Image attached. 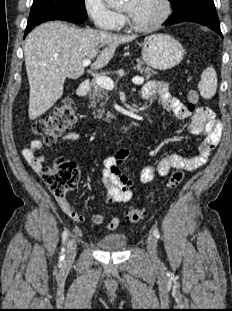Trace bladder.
Masks as SVG:
<instances>
[{
    "label": "bladder",
    "instance_id": "31cf9c89",
    "mask_svg": "<svg viewBox=\"0 0 232 311\" xmlns=\"http://www.w3.org/2000/svg\"><path fill=\"white\" fill-rule=\"evenodd\" d=\"M127 244L125 235L112 233L99 238L97 245L103 251L120 252Z\"/></svg>",
    "mask_w": 232,
    "mask_h": 311
}]
</instances>
